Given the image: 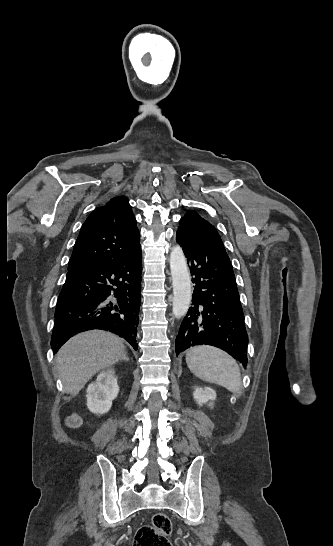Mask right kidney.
Masks as SVG:
<instances>
[{"label":"right kidney","mask_w":333,"mask_h":546,"mask_svg":"<svg viewBox=\"0 0 333 546\" xmlns=\"http://www.w3.org/2000/svg\"><path fill=\"white\" fill-rule=\"evenodd\" d=\"M113 369L101 372L96 381L87 388V407L95 414H104L112 406V401L119 393L117 379Z\"/></svg>","instance_id":"1"}]
</instances>
